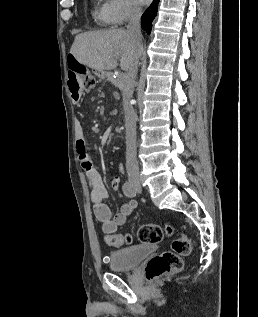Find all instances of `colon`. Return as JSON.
Returning <instances> with one entry per match:
<instances>
[{
    "label": "colon",
    "instance_id": "colon-1",
    "mask_svg": "<svg viewBox=\"0 0 258 317\" xmlns=\"http://www.w3.org/2000/svg\"><path fill=\"white\" fill-rule=\"evenodd\" d=\"M69 69L76 70L81 76L83 86L86 91L95 86L93 74L81 65L72 53L67 57ZM174 229L167 226L165 229L156 224H145L140 227L138 238L143 243H157L162 240L164 235L171 236ZM106 243L111 247H121L132 242L129 234H108L105 238ZM191 251L190 240L185 235L175 238L171 245V250L159 253L149 259L145 266L146 278L149 281L156 280L170 272H176L182 269V257Z\"/></svg>",
    "mask_w": 258,
    "mask_h": 317
}]
</instances>
